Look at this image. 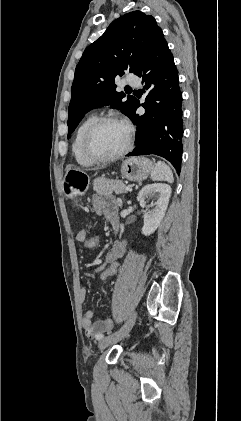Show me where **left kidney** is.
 Returning a JSON list of instances; mask_svg holds the SVG:
<instances>
[{
    "mask_svg": "<svg viewBox=\"0 0 241 421\" xmlns=\"http://www.w3.org/2000/svg\"><path fill=\"white\" fill-rule=\"evenodd\" d=\"M171 191L169 185L162 183L148 184L140 190L137 201L143 209L146 208L143 210L144 225L142 228V234L145 236L154 233L160 225L168 207ZM154 197L157 198L156 202L151 204L154 208L148 210L147 199Z\"/></svg>",
    "mask_w": 241,
    "mask_h": 421,
    "instance_id": "5707ae66",
    "label": "left kidney"
}]
</instances>
